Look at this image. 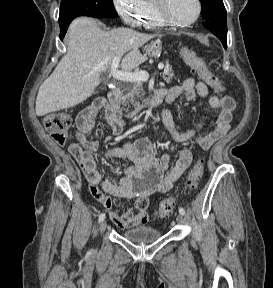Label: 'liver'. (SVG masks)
Instances as JSON below:
<instances>
[{"label": "liver", "mask_w": 273, "mask_h": 288, "mask_svg": "<svg viewBox=\"0 0 273 288\" xmlns=\"http://www.w3.org/2000/svg\"><path fill=\"white\" fill-rule=\"evenodd\" d=\"M155 36L129 28L104 31L93 18L75 19L69 26L66 55L39 88L36 115L44 116L85 101L114 58L124 56L120 65L123 72L138 67L146 60L139 48Z\"/></svg>", "instance_id": "6515ba94"}]
</instances>
